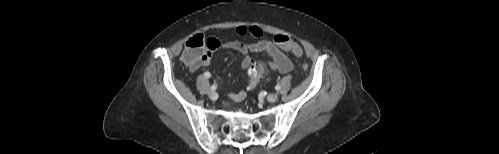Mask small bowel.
I'll return each mask as SVG.
<instances>
[{
  "label": "small bowel",
  "instance_id": "obj_1",
  "mask_svg": "<svg viewBox=\"0 0 499 154\" xmlns=\"http://www.w3.org/2000/svg\"><path fill=\"white\" fill-rule=\"evenodd\" d=\"M236 32L241 36L250 35L254 38H260L262 36L261 29L256 26H239L236 28ZM208 42L210 50H236L240 55L241 64L245 69H248L252 65V60L249 56L252 52H263L269 55L272 58V61L268 63V67L272 71L277 70L281 73H289L293 69V64L290 59L278 48L275 43L269 40L260 39L250 43H242L234 40L209 38ZM209 58L204 61V64H207ZM195 69H197V67L192 68V70ZM230 97L235 101H241L245 99L246 92L240 91L238 93H232L230 94Z\"/></svg>",
  "mask_w": 499,
  "mask_h": 154
}]
</instances>
